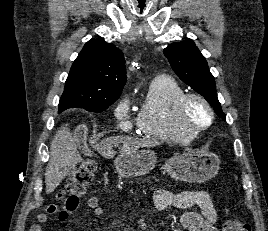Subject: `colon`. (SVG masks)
Wrapping results in <instances>:
<instances>
[{
    "label": "colon",
    "mask_w": 268,
    "mask_h": 231,
    "mask_svg": "<svg viewBox=\"0 0 268 231\" xmlns=\"http://www.w3.org/2000/svg\"><path fill=\"white\" fill-rule=\"evenodd\" d=\"M95 171L94 163H86L72 173L64 189L58 193V197L64 200V207L59 212L60 220H65L71 212L77 209L80 197L86 193ZM40 219L43 220V216ZM225 230L252 231V228L247 223L230 219L225 224Z\"/></svg>",
    "instance_id": "colon-1"
}]
</instances>
